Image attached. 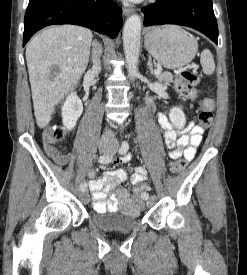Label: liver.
<instances>
[{
	"label": "liver",
	"instance_id": "1",
	"mask_svg": "<svg viewBox=\"0 0 247 275\" xmlns=\"http://www.w3.org/2000/svg\"><path fill=\"white\" fill-rule=\"evenodd\" d=\"M92 32L77 25L52 26L33 37L26 48L36 122L48 126L55 106L72 90L85 72ZM51 68L57 72L52 76Z\"/></svg>",
	"mask_w": 247,
	"mask_h": 275
}]
</instances>
